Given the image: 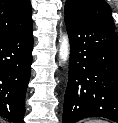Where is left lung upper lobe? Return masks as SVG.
I'll use <instances>...</instances> for the list:
<instances>
[{
    "mask_svg": "<svg viewBox=\"0 0 118 123\" xmlns=\"http://www.w3.org/2000/svg\"><path fill=\"white\" fill-rule=\"evenodd\" d=\"M65 18L114 29L111 9L104 0H67Z\"/></svg>",
    "mask_w": 118,
    "mask_h": 123,
    "instance_id": "left-lung-upper-lobe-1",
    "label": "left lung upper lobe"
}]
</instances>
